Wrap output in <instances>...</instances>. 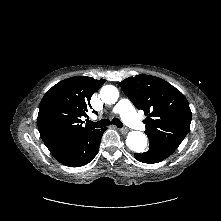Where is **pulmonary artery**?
Listing matches in <instances>:
<instances>
[{
  "label": "pulmonary artery",
  "mask_w": 221,
  "mask_h": 221,
  "mask_svg": "<svg viewBox=\"0 0 221 221\" xmlns=\"http://www.w3.org/2000/svg\"><path fill=\"white\" fill-rule=\"evenodd\" d=\"M115 113L120 114L123 121L130 127L141 130L145 127L143 121L138 117L131 102L128 99H121L114 107Z\"/></svg>",
  "instance_id": "e3ab8cb5"
}]
</instances>
